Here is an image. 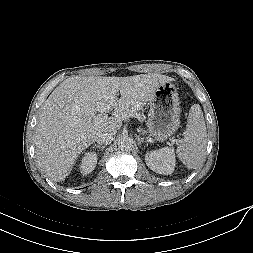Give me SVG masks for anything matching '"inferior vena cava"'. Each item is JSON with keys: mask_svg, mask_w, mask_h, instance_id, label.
Returning <instances> with one entry per match:
<instances>
[{"mask_svg": "<svg viewBox=\"0 0 253 253\" xmlns=\"http://www.w3.org/2000/svg\"><path fill=\"white\" fill-rule=\"evenodd\" d=\"M116 132H117L116 130L110 127H105L99 130L95 141L100 145L110 144L113 141Z\"/></svg>", "mask_w": 253, "mask_h": 253, "instance_id": "602c4592", "label": "inferior vena cava"}]
</instances>
